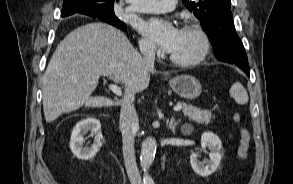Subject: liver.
Masks as SVG:
<instances>
[{"mask_svg":"<svg viewBox=\"0 0 293 184\" xmlns=\"http://www.w3.org/2000/svg\"><path fill=\"white\" fill-rule=\"evenodd\" d=\"M154 67L145 63L126 35L101 22L82 25L71 31L57 46L42 81L46 122L64 113L85 107L118 104L106 97H91L99 77L121 82L127 94L146 89Z\"/></svg>","mask_w":293,"mask_h":184,"instance_id":"1","label":"liver"}]
</instances>
